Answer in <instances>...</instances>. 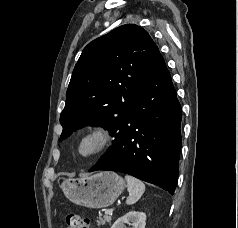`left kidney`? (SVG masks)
<instances>
[{"label": "left kidney", "mask_w": 238, "mask_h": 228, "mask_svg": "<svg viewBox=\"0 0 238 228\" xmlns=\"http://www.w3.org/2000/svg\"><path fill=\"white\" fill-rule=\"evenodd\" d=\"M126 224L132 226V228H145L146 214L143 212L130 211L119 217L111 228H127Z\"/></svg>", "instance_id": "left-kidney-1"}]
</instances>
